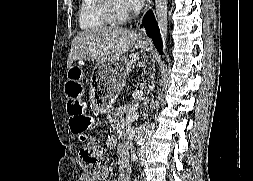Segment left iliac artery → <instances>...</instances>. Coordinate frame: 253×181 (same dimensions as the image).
I'll list each match as a JSON object with an SVG mask.
<instances>
[{
  "mask_svg": "<svg viewBox=\"0 0 253 181\" xmlns=\"http://www.w3.org/2000/svg\"><path fill=\"white\" fill-rule=\"evenodd\" d=\"M140 163H141V165L143 166V164H144V160H141V162H140Z\"/></svg>",
  "mask_w": 253,
  "mask_h": 181,
  "instance_id": "obj_1",
  "label": "left iliac artery"
}]
</instances>
